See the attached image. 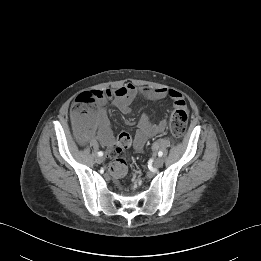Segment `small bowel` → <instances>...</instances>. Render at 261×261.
Instances as JSON below:
<instances>
[{
    "label": "small bowel",
    "instance_id": "c3829d8e",
    "mask_svg": "<svg viewBox=\"0 0 261 261\" xmlns=\"http://www.w3.org/2000/svg\"><path fill=\"white\" fill-rule=\"evenodd\" d=\"M93 95L96 101V106L82 121L80 137L83 142L96 138L102 145L105 146H109L114 142V136L111 131L110 121L106 109V104L109 101L123 114H128L131 112V104L137 97H142L148 100L170 98L176 108L184 109L186 107L185 100L180 92L163 87H138L134 84L127 83L114 90H96L93 92ZM165 129V121H161L158 124H152L149 122L147 116L143 115L134 136V149L141 150L148 138L163 133Z\"/></svg>",
    "mask_w": 261,
    "mask_h": 261
}]
</instances>
